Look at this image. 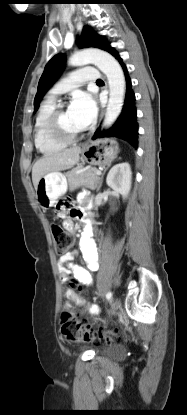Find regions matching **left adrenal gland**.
Listing matches in <instances>:
<instances>
[{"instance_id": "a2214340", "label": "left adrenal gland", "mask_w": 187, "mask_h": 415, "mask_svg": "<svg viewBox=\"0 0 187 415\" xmlns=\"http://www.w3.org/2000/svg\"><path fill=\"white\" fill-rule=\"evenodd\" d=\"M106 170H104V172L102 173L101 177H100V182H99V186L97 188V192L100 190L101 186H102V182H103V177L105 174Z\"/></svg>"}]
</instances>
